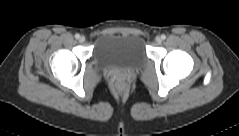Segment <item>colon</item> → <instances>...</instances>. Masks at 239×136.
<instances>
[{
	"label": "colon",
	"instance_id": "5ec220e1",
	"mask_svg": "<svg viewBox=\"0 0 239 136\" xmlns=\"http://www.w3.org/2000/svg\"><path fill=\"white\" fill-rule=\"evenodd\" d=\"M127 83L123 78H117L114 82V89L116 91L122 92L126 89Z\"/></svg>",
	"mask_w": 239,
	"mask_h": 136
}]
</instances>
